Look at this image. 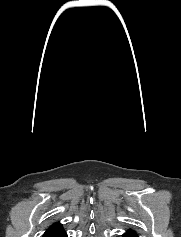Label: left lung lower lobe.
<instances>
[{"label": "left lung lower lobe", "mask_w": 181, "mask_h": 237, "mask_svg": "<svg viewBox=\"0 0 181 237\" xmlns=\"http://www.w3.org/2000/svg\"><path fill=\"white\" fill-rule=\"evenodd\" d=\"M123 237H138V235L133 230H128L126 233L123 234Z\"/></svg>", "instance_id": "left-lung-lower-lobe-1"}]
</instances>
